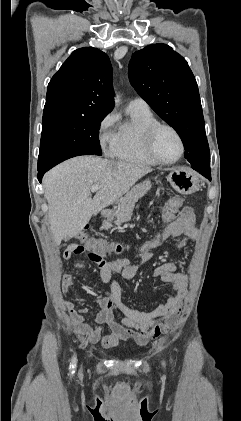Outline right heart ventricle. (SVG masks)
Masks as SVG:
<instances>
[{
  "instance_id": "right-heart-ventricle-1",
  "label": "right heart ventricle",
  "mask_w": 241,
  "mask_h": 421,
  "mask_svg": "<svg viewBox=\"0 0 241 421\" xmlns=\"http://www.w3.org/2000/svg\"><path fill=\"white\" fill-rule=\"evenodd\" d=\"M129 120L115 132L111 155L118 160L149 166L157 164L147 153L144 144L146 131L157 119L150 109L128 107Z\"/></svg>"
}]
</instances>
